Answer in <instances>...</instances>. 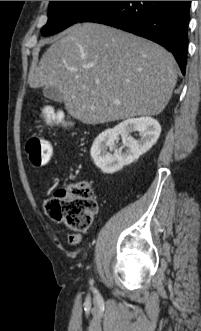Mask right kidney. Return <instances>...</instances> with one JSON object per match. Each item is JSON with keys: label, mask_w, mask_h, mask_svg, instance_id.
Masks as SVG:
<instances>
[{"label": "right kidney", "mask_w": 201, "mask_h": 331, "mask_svg": "<svg viewBox=\"0 0 201 331\" xmlns=\"http://www.w3.org/2000/svg\"><path fill=\"white\" fill-rule=\"evenodd\" d=\"M132 132H138L140 138L131 137L129 134ZM160 133V124L151 117L127 119L100 133L93 142L90 154L94 164L103 173L113 174L146 153L156 143ZM120 135L125 138V142L123 147L117 149L116 141ZM124 147L126 149L122 151Z\"/></svg>", "instance_id": "1"}]
</instances>
